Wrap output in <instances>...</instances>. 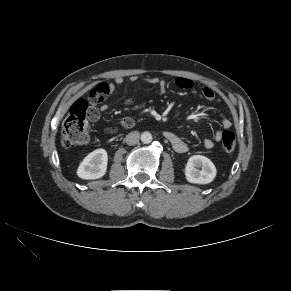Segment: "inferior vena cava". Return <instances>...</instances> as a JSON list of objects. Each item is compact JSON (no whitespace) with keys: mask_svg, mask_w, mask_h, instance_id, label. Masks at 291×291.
<instances>
[{"mask_svg":"<svg viewBox=\"0 0 291 291\" xmlns=\"http://www.w3.org/2000/svg\"><path fill=\"white\" fill-rule=\"evenodd\" d=\"M139 138H140V134L138 131H133V132H130L126 137H125V142L128 144V145H135L138 143L139 141Z\"/></svg>","mask_w":291,"mask_h":291,"instance_id":"obj_1","label":"inferior vena cava"}]
</instances>
